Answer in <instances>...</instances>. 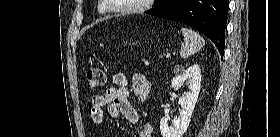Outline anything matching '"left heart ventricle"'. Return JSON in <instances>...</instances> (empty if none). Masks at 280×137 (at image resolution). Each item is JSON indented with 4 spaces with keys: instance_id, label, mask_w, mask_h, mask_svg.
<instances>
[{
    "instance_id": "obj_1",
    "label": "left heart ventricle",
    "mask_w": 280,
    "mask_h": 137,
    "mask_svg": "<svg viewBox=\"0 0 280 137\" xmlns=\"http://www.w3.org/2000/svg\"><path fill=\"white\" fill-rule=\"evenodd\" d=\"M117 6H131L137 3V0H115Z\"/></svg>"
}]
</instances>
